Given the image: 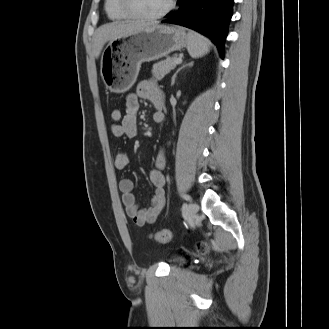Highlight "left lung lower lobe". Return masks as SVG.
<instances>
[{
	"mask_svg": "<svg viewBox=\"0 0 329 329\" xmlns=\"http://www.w3.org/2000/svg\"><path fill=\"white\" fill-rule=\"evenodd\" d=\"M234 0H178L179 9L163 23L188 27L207 36L224 57V40Z\"/></svg>",
	"mask_w": 329,
	"mask_h": 329,
	"instance_id": "left-lung-lower-lobe-1",
	"label": "left lung lower lobe"
}]
</instances>
